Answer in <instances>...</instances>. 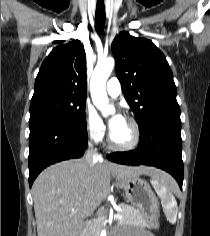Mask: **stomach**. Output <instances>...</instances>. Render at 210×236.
Here are the masks:
<instances>
[{"mask_svg": "<svg viewBox=\"0 0 210 236\" xmlns=\"http://www.w3.org/2000/svg\"><path fill=\"white\" fill-rule=\"evenodd\" d=\"M125 197L143 215L149 227H159V203L150 185L139 177L122 181Z\"/></svg>", "mask_w": 210, "mask_h": 236, "instance_id": "0dacf381", "label": "stomach"}]
</instances>
